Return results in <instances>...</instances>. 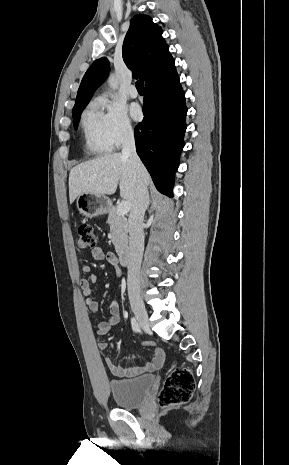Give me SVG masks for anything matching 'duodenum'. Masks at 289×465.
I'll list each match as a JSON object with an SVG mask.
<instances>
[{
  "instance_id": "duodenum-1",
  "label": "duodenum",
  "mask_w": 289,
  "mask_h": 465,
  "mask_svg": "<svg viewBox=\"0 0 289 465\" xmlns=\"http://www.w3.org/2000/svg\"><path fill=\"white\" fill-rule=\"evenodd\" d=\"M133 255L129 247H125L120 252V261L124 266H129L132 263Z\"/></svg>"
}]
</instances>
